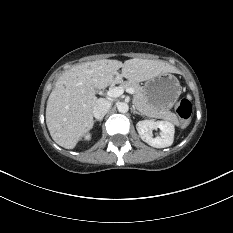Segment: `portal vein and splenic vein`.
I'll use <instances>...</instances> for the list:
<instances>
[{
    "label": "portal vein and splenic vein",
    "mask_w": 233,
    "mask_h": 233,
    "mask_svg": "<svg viewBox=\"0 0 233 233\" xmlns=\"http://www.w3.org/2000/svg\"><path fill=\"white\" fill-rule=\"evenodd\" d=\"M126 91L128 93H130V94H134V90L132 88H127ZM123 93H124V89L123 88H121V87H115V88L110 89L107 92V96L115 98V97L121 96Z\"/></svg>",
    "instance_id": "1"
}]
</instances>
